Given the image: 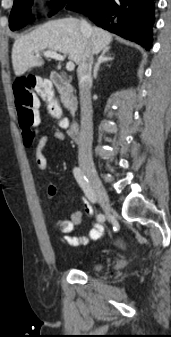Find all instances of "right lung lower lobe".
<instances>
[{"mask_svg": "<svg viewBox=\"0 0 171 337\" xmlns=\"http://www.w3.org/2000/svg\"><path fill=\"white\" fill-rule=\"evenodd\" d=\"M67 8L147 50L151 47L155 0H74Z\"/></svg>", "mask_w": 171, "mask_h": 337, "instance_id": "1", "label": "right lung lower lobe"}]
</instances>
